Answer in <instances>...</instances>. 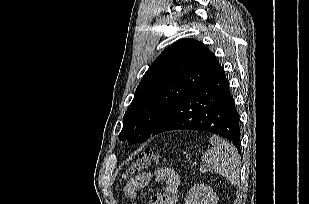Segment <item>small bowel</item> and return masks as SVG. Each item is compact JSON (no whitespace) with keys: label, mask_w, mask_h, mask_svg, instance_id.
Here are the masks:
<instances>
[{"label":"small bowel","mask_w":309,"mask_h":204,"mask_svg":"<svg viewBox=\"0 0 309 204\" xmlns=\"http://www.w3.org/2000/svg\"><path fill=\"white\" fill-rule=\"evenodd\" d=\"M151 180L163 182L165 187L163 193L152 196L150 204H176L182 180L179 172L169 167H158L130 179L124 186V195L127 198L136 197Z\"/></svg>","instance_id":"1"}]
</instances>
